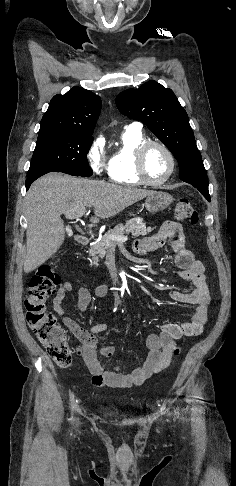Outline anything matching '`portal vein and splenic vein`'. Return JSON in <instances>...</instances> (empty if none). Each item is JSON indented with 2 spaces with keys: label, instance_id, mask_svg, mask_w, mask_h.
<instances>
[{
  "label": "portal vein and splenic vein",
  "instance_id": "portal-vein-and-splenic-vein-1",
  "mask_svg": "<svg viewBox=\"0 0 236 486\" xmlns=\"http://www.w3.org/2000/svg\"><path fill=\"white\" fill-rule=\"evenodd\" d=\"M85 211H86L85 208L74 209L67 212L65 214V217L68 219H79L85 214ZM110 239L118 243H123L128 240V237L124 235H118V236H112Z\"/></svg>",
  "mask_w": 236,
  "mask_h": 486
}]
</instances>
